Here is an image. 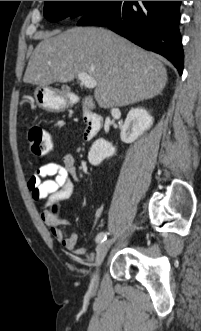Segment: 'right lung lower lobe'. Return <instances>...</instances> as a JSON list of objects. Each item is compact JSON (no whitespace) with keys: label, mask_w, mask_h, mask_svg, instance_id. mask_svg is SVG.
<instances>
[{"label":"right lung lower lobe","mask_w":201,"mask_h":331,"mask_svg":"<svg viewBox=\"0 0 201 331\" xmlns=\"http://www.w3.org/2000/svg\"><path fill=\"white\" fill-rule=\"evenodd\" d=\"M181 1H102L78 21V26H106L135 44L170 60L183 72L179 33Z\"/></svg>","instance_id":"1"}]
</instances>
